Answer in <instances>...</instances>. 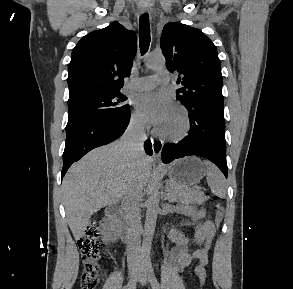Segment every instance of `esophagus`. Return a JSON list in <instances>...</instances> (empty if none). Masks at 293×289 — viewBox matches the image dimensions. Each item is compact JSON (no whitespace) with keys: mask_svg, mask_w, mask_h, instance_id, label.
<instances>
[{"mask_svg":"<svg viewBox=\"0 0 293 289\" xmlns=\"http://www.w3.org/2000/svg\"><path fill=\"white\" fill-rule=\"evenodd\" d=\"M145 12H146V8L141 7L140 13H145ZM152 148H153V158L157 161H160L163 143L158 140H152Z\"/></svg>","mask_w":293,"mask_h":289,"instance_id":"esophagus-1","label":"esophagus"}]
</instances>
